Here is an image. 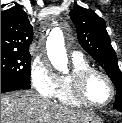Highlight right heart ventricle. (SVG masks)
<instances>
[{
	"label": "right heart ventricle",
	"instance_id": "1",
	"mask_svg": "<svg viewBox=\"0 0 122 123\" xmlns=\"http://www.w3.org/2000/svg\"><path fill=\"white\" fill-rule=\"evenodd\" d=\"M72 64L73 70L70 74L58 77L57 90L54 97L60 103L67 106H84L73 97L71 93V80L74 74L83 69L90 68L91 65L83 56L79 58H72Z\"/></svg>",
	"mask_w": 122,
	"mask_h": 123
}]
</instances>
